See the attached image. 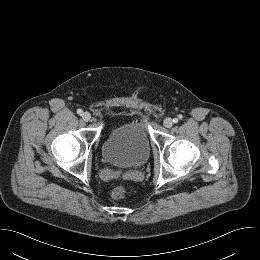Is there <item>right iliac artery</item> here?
<instances>
[{
	"label": "right iliac artery",
	"instance_id": "1",
	"mask_svg": "<svg viewBox=\"0 0 260 260\" xmlns=\"http://www.w3.org/2000/svg\"><path fill=\"white\" fill-rule=\"evenodd\" d=\"M77 113H78L79 115H82V113H83L82 109H78V110H77Z\"/></svg>",
	"mask_w": 260,
	"mask_h": 260
}]
</instances>
